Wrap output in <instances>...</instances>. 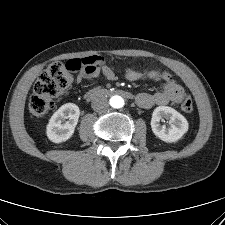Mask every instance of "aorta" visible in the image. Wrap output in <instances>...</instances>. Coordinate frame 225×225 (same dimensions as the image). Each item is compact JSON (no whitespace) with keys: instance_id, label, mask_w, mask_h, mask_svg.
I'll list each match as a JSON object with an SVG mask.
<instances>
[{"instance_id":"obj_1","label":"aorta","mask_w":225,"mask_h":225,"mask_svg":"<svg viewBox=\"0 0 225 225\" xmlns=\"http://www.w3.org/2000/svg\"><path fill=\"white\" fill-rule=\"evenodd\" d=\"M110 104L113 108H122L124 106V99L121 96H113L110 99Z\"/></svg>"}]
</instances>
